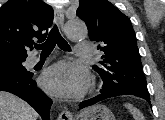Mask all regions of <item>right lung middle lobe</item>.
Returning a JSON list of instances; mask_svg holds the SVG:
<instances>
[{"label": "right lung middle lobe", "instance_id": "dd1d6c3e", "mask_svg": "<svg viewBox=\"0 0 165 120\" xmlns=\"http://www.w3.org/2000/svg\"><path fill=\"white\" fill-rule=\"evenodd\" d=\"M21 61H9L0 62V73L16 74V75H31L29 71L25 69Z\"/></svg>", "mask_w": 165, "mask_h": 120}]
</instances>
